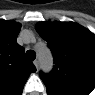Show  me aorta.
I'll return each mask as SVG.
<instances>
[{
  "label": "aorta",
  "instance_id": "obj_1",
  "mask_svg": "<svg viewBox=\"0 0 95 95\" xmlns=\"http://www.w3.org/2000/svg\"><path fill=\"white\" fill-rule=\"evenodd\" d=\"M36 51L42 71H51L53 68V56L50 49L45 44H43L42 46H38Z\"/></svg>",
  "mask_w": 95,
  "mask_h": 95
}]
</instances>
